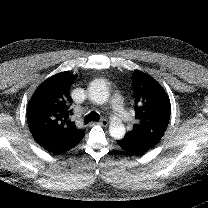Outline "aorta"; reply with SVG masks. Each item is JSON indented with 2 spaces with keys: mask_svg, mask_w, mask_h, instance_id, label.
I'll return each mask as SVG.
<instances>
[{
  "mask_svg": "<svg viewBox=\"0 0 208 208\" xmlns=\"http://www.w3.org/2000/svg\"><path fill=\"white\" fill-rule=\"evenodd\" d=\"M89 96L97 104H104L109 99V88L102 79H96L89 86ZM110 135L115 139H122L125 135V127L120 122L113 120L109 128Z\"/></svg>",
  "mask_w": 208,
  "mask_h": 208,
  "instance_id": "obj_1",
  "label": "aorta"
}]
</instances>
